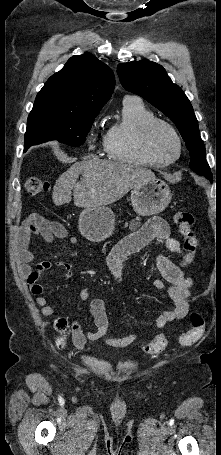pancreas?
Masks as SVG:
<instances>
[{
    "label": "pancreas",
    "instance_id": "1",
    "mask_svg": "<svg viewBox=\"0 0 221 455\" xmlns=\"http://www.w3.org/2000/svg\"><path fill=\"white\" fill-rule=\"evenodd\" d=\"M131 229V230H136L139 226H140V221H139V218H136L134 220H132L130 222V224L128 225V223L126 222L125 223V227H128Z\"/></svg>",
    "mask_w": 221,
    "mask_h": 455
}]
</instances>
